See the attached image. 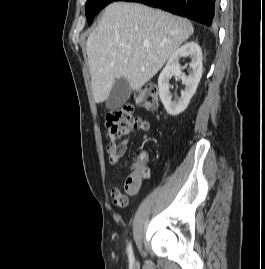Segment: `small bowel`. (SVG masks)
Wrapping results in <instances>:
<instances>
[{
  "mask_svg": "<svg viewBox=\"0 0 265 269\" xmlns=\"http://www.w3.org/2000/svg\"><path fill=\"white\" fill-rule=\"evenodd\" d=\"M146 121V120H145ZM150 128L149 122L146 121V126L141 131H148ZM127 149L125 142L116 143L110 142L107 145V152L109 154V160L112 164L119 163ZM142 179L136 174H130L125 181V193H122L118 188H112L110 195L113 201V204L117 207L124 208L128 205L129 198L135 196L140 189Z\"/></svg>",
  "mask_w": 265,
  "mask_h": 269,
  "instance_id": "c3829d8e",
  "label": "small bowel"
}]
</instances>
